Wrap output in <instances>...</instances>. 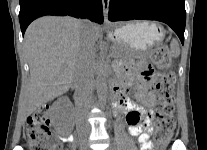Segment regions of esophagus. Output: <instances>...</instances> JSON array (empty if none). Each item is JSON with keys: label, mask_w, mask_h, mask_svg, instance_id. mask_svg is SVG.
I'll return each instance as SVG.
<instances>
[{"label": "esophagus", "mask_w": 207, "mask_h": 150, "mask_svg": "<svg viewBox=\"0 0 207 150\" xmlns=\"http://www.w3.org/2000/svg\"><path fill=\"white\" fill-rule=\"evenodd\" d=\"M109 2L110 0H102V6H103V15H104V23L108 24V13H109Z\"/></svg>", "instance_id": "1"}]
</instances>
